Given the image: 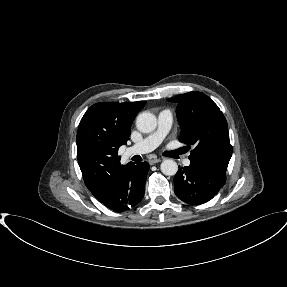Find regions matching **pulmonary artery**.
Segmentation results:
<instances>
[{
    "label": "pulmonary artery",
    "mask_w": 287,
    "mask_h": 287,
    "mask_svg": "<svg viewBox=\"0 0 287 287\" xmlns=\"http://www.w3.org/2000/svg\"><path fill=\"white\" fill-rule=\"evenodd\" d=\"M173 115L170 109L162 110L158 115V125L155 132L134 144L126 150V156L133 154H144L154 150L169 132L172 125ZM183 164L185 166L190 165V160L185 159Z\"/></svg>",
    "instance_id": "pulmonary-artery-1"
}]
</instances>
